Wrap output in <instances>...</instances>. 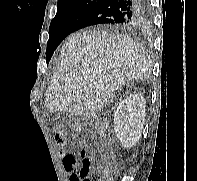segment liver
<instances>
[{"label":"liver","mask_w":197,"mask_h":181,"mask_svg":"<svg viewBox=\"0 0 197 181\" xmlns=\"http://www.w3.org/2000/svg\"><path fill=\"white\" fill-rule=\"evenodd\" d=\"M152 62L132 39L100 29L68 37L46 93L50 112L93 117L121 86L148 80Z\"/></svg>","instance_id":"obj_1"}]
</instances>
